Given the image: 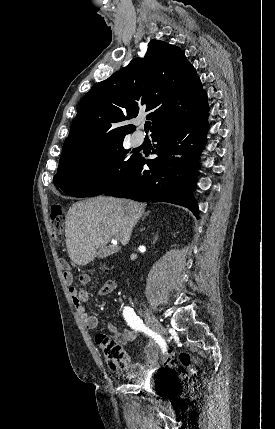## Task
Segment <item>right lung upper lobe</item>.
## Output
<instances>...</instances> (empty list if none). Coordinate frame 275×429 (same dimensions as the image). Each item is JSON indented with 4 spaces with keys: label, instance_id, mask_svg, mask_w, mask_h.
Returning <instances> with one entry per match:
<instances>
[{
    "label": "right lung upper lobe",
    "instance_id": "cb5924a9",
    "mask_svg": "<svg viewBox=\"0 0 275 429\" xmlns=\"http://www.w3.org/2000/svg\"><path fill=\"white\" fill-rule=\"evenodd\" d=\"M208 109L195 68L180 48L151 40L144 59L135 58L83 97L64 142L59 166L106 147L134 131L125 121L147 113L152 134Z\"/></svg>",
    "mask_w": 275,
    "mask_h": 429
}]
</instances>
